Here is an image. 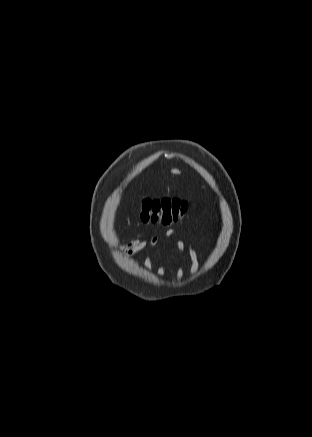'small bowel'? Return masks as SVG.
<instances>
[{
    "mask_svg": "<svg viewBox=\"0 0 312 437\" xmlns=\"http://www.w3.org/2000/svg\"><path fill=\"white\" fill-rule=\"evenodd\" d=\"M173 234L174 232L172 230H169L167 232L168 237L172 236ZM158 242H159L158 236L154 235L152 236L149 242L144 240L143 238H136L128 243L123 244L122 248L126 256H132L146 248H150V250L153 251L157 247ZM182 246H183L182 243L179 242L178 248L181 249Z\"/></svg>",
    "mask_w": 312,
    "mask_h": 437,
    "instance_id": "1",
    "label": "small bowel"
}]
</instances>
